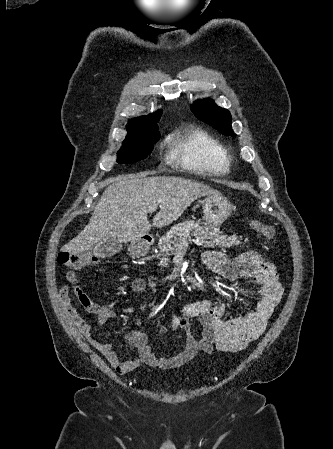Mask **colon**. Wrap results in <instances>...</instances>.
<instances>
[{
	"mask_svg": "<svg viewBox=\"0 0 333 449\" xmlns=\"http://www.w3.org/2000/svg\"><path fill=\"white\" fill-rule=\"evenodd\" d=\"M252 228L268 239L273 240L276 237V231L273 227L257 220H251ZM57 262L71 269H80L83 267H92L100 263V258L88 252L61 251L57 256Z\"/></svg>",
	"mask_w": 333,
	"mask_h": 449,
	"instance_id": "obj_1",
	"label": "colon"
}]
</instances>
